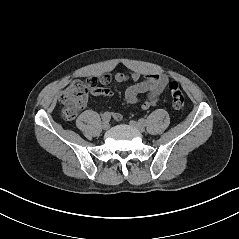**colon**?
<instances>
[{
    "mask_svg": "<svg viewBox=\"0 0 239 239\" xmlns=\"http://www.w3.org/2000/svg\"><path fill=\"white\" fill-rule=\"evenodd\" d=\"M94 77L87 79L86 83L76 80L73 81L60 96V102L63 105L62 115L66 120H72L77 113L85 106L89 91L97 84ZM169 90L172 97V104L175 109H181L184 106V95L176 82H171Z\"/></svg>",
    "mask_w": 239,
    "mask_h": 239,
    "instance_id": "5ec220e1",
    "label": "colon"
}]
</instances>
